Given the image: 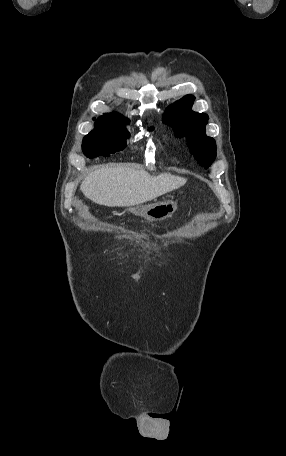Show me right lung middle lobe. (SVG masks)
I'll use <instances>...</instances> for the list:
<instances>
[{"label": "right lung middle lobe", "mask_w": 286, "mask_h": 456, "mask_svg": "<svg viewBox=\"0 0 286 456\" xmlns=\"http://www.w3.org/2000/svg\"><path fill=\"white\" fill-rule=\"evenodd\" d=\"M128 123L106 116L99 117L95 121L94 130L83 139L82 150L84 154L89 158L100 155L106 157L123 150L126 147L125 140L129 137L125 128V124Z\"/></svg>", "instance_id": "obj_1"}]
</instances>
